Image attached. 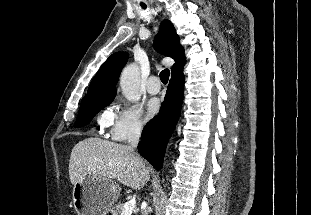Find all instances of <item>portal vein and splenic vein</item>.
<instances>
[{
    "instance_id": "obj_1",
    "label": "portal vein and splenic vein",
    "mask_w": 311,
    "mask_h": 215,
    "mask_svg": "<svg viewBox=\"0 0 311 215\" xmlns=\"http://www.w3.org/2000/svg\"><path fill=\"white\" fill-rule=\"evenodd\" d=\"M135 208H136V200H130L125 203L121 215H131V213Z\"/></svg>"
}]
</instances>
